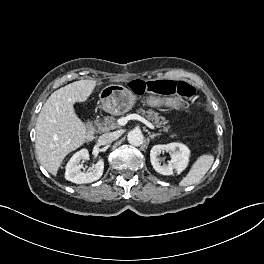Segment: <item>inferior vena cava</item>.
Instances as JSON below:
<instances>
[{
	"label": "inferior vena cava",
	"instance_id": "obj_1",
	"mask_svg": "<svg viewBox=\"0 0 264 264\" xmlns=\"http://www.w3.org/2000/svg\"><path fill=\"white\" fill-rule=\"evenodd\" d=\"M116 139V135L114 133H105L101 135L98 139L100 145H108L112 143Z\"/></svg>",
	"mask_w": 264,
	"mask_h": 264
}]
</instances>
